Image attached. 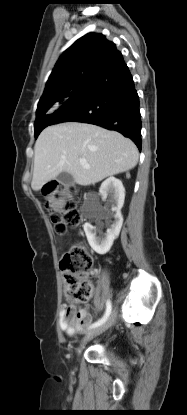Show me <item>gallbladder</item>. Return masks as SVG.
Listing matches in <instances>:
<instances>
[{
	"label": "gallbladder",
	"instance_id": "obj_1",
	"mask_svg": "<svg viewBox=\"0 0 187 415\" xmlns=\"http://www.w3.org/2000/svg\"><path fill=\"white\" fill-rule=\"evenodd\" d=\"M57 181L67 187H71L75 185V180L73 176L67 172H61L57 176Z\"/></svg>",
	"mask_w": 187,
	"mask_h": 415
}]
</instances>
